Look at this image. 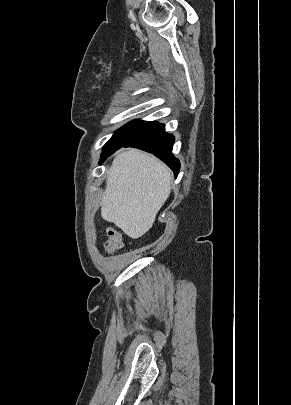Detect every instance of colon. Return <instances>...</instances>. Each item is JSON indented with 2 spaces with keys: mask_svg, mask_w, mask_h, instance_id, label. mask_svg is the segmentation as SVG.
<instances>
[{
  "mask_svg": "<svg viewBox=\"0 0 291 405\" xmlns=\"http://www.w3.org/2000/svg\"><path fill=\"white\" fill-rule=\"evenodd\" d=\"M123 247V237L120 232L115 229L108 230V238L105 243V250L113 254Z\"/></svg>",
  "mask_w": 291,
  "mask_h": 405,
  "instance_id": "1",
  "label": "colon"
}]
</instances>
